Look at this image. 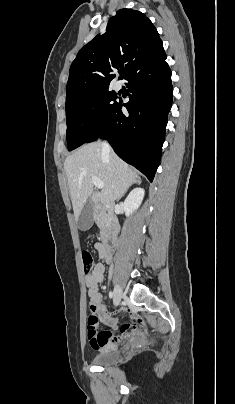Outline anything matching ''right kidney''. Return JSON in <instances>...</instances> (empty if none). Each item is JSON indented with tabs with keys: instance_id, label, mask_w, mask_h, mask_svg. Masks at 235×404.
Wrapping results in <instances>:
<instances>
[{
	"instance_id": "right-kidney-1",
	"label": "right kidney",
	"mask_w": 235,
	"mask_h": 404,
	"mask_svg": "<svg viewBox=\"0 0 235 404\" xmlns=\"http://www.w3.org/2000/svg\"><path fill=\"white\" fill-rule=\"evenodd\" d=\"M144 198V189H133L124 201V210L126 216H130L135 210L139 208Z\"/></svg>"
}]
</instances>
